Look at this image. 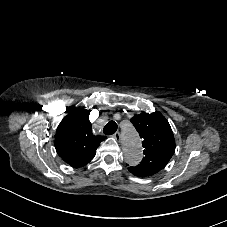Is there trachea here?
Returning a JSON list of instances; mask_svg holds the SVG:
<instances>
[{"instance_id":"1","label":"trachea","mask_w":227,"mask_h":227,"mask_svg":"<svg viewBox=\"0 0 227 227\" xmlns=\"http://www.w3.org/2000/svg\"><path fill=\"white\" fill-rule=\"evenodd\" d=\"M117 130V124L114 121H110L107 123V125L103 128V132L106 135H112Z\"/></svg>"}]
</instances>
